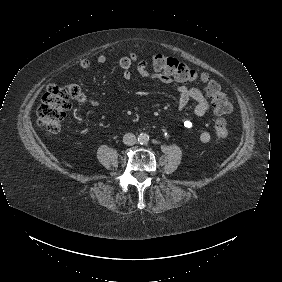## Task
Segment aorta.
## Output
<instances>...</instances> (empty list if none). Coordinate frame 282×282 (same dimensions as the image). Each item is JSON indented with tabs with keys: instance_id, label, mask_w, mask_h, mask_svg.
Wrapping results in <instances>:
<instances>
[{
	"instance_id": "obj_1",
	"label": "aorta",
	"mask_w": 282,
	"mask_h": 282,
	"mask_svg": "<svg viewBox=\"0 0 282 282\" xmlns=\"http://www.w3.org/2000/svg\"><path fill=\"white\" fill-rule=\"evenodd\" d=\"M149 140H150V136L145 132H141L137 136V142L140 145H147Z\"/></svg>"
}]
</instances>
